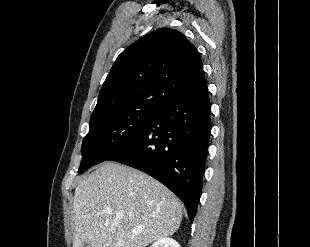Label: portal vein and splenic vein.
Returning <instances> with one entry per match:
<instances>
[{"label": "portal vein and splenic vein", "instance_id": "obj_1", "mask_svg": "<svg viewBox=\"0 0 310 247\" xmlns=\"http://www.w3.org/2000/svg\"><path fill=\"white\" fill-rule=\"evenodd\" d=\"M107 212H108V213H110V212H111V210H108ZM132 233H133V234H138V233H139V231H138V230H133V231H132Z\"/></svg>", "mask_w": 310, "mask_h": 247}]
</instances>
